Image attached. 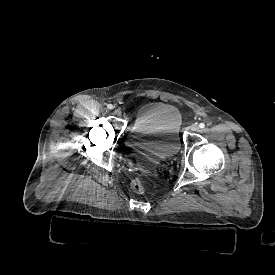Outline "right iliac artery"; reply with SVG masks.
<instances>
[{
    "label": "right iliac artery",
    "instance_id": "right-iliac-artery-1",
    "mask_svg": "<svg viewBox=\"0 0 275 275\" xmlns=\"http://www.w3.org/2000/svg\"><path fill=\"white\" fill-rule=\"evenodd\" d=\"M109 109H113L114 108V106L112 105V104H108V106H107Z\"/></svg>",
    "mask_w": 275,
    "mask_h": 275
}]
</instances>
